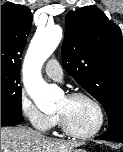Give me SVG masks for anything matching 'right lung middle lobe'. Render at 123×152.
I'll use <instances>...</instances> for the list:
<instances>
[{
    "label": "right lung middle lobe",
    "instance_id": "obj_1",
    "mask_svg": "<svg viewBox=\"0 0 123 152\" xmlns=\"http://www.w3.org/2000/svg\"><path fill=\"white\" fill-rule=\"evenodd\" d=\"M19 71L1 69V111L22 113Z\"/></svg>",
    "mask_w": 123,
    "mask_h": 152
}]
</instances>
